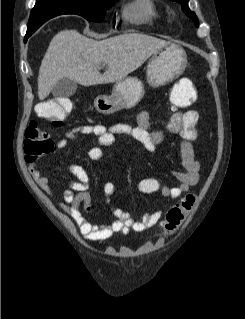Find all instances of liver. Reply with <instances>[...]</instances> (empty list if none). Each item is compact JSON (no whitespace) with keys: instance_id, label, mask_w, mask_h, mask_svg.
Masks as SVG:
<instances>
[{"instance_id":"1","label":"liver","mask_w":245,"mask_h":319,"mask_svg":"<svg viewBox=\"0 0 245 319\" xmlns=\"http://www.w3.org/2000/svg\"><path fill=\"white\" fill-rule=\"evenodd\" d=\"M169 44L141 33H126L96 41L76 30L61 31L51 40L41 62L39 100H44L62 78H69L82 86L120 81ZM101 64L108 66L103 74L98 70Z\"/></svg>"}]
</instances>
